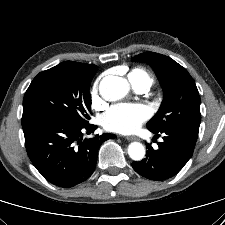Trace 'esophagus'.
Wrapping results in <instances>:
<instances>
[{"label": "esophagus", "instance_id": "1", "mask_svg": "<svg viewBox=\"0 0 225 225\" xmlns=\"http://www.w3.org/2000/svg\"><path fill=\"white\" fill-rule=\"evenodd\" d=\"M126 139H127L128 141L139 140V139H138L137 137H135V136H127Z\"/></svg>", "mask_w": 225, "mask_h": 225}]
</instances>
